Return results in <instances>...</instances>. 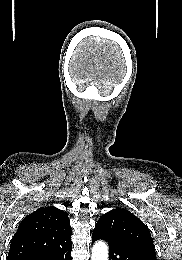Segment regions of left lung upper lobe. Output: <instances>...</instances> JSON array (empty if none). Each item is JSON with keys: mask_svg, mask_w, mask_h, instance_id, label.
Returning <instances> with one entry per match:
<instances>
[{"mask_svg": "<svg viewBox=\"0 0 182 260\" xmlns=\"http://www.w3.org/2000/svg\"><path fill=\"white\" fill-rule=\"evenodd\" d=\"M94 231L104 233L129 245L156 255L148 227L124 208H116L100 217Z\"/></svg>", "mask_w": 182, "mask_h": 260, "instance_id": "left-lung-upper-lobe-1", "label": "left lung upper lobe"}]
</instances>
